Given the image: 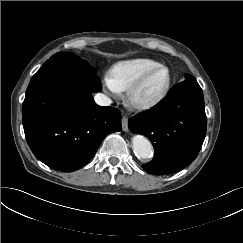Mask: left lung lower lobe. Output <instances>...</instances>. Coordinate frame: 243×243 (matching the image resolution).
I'll list each match as a JSON object with an SVG mask.
<instances>
[{
  "mask_svg": "<svg viewBox=\"0 0 243 243\" xmlns=\"http://www.w3.org/2000/svg\"><path fill=\"white\" fill-rule=\"evenodd\" d=\"M206 126L204 97L195 79L175 85L157 105L129 119V129L153 144L155 157L143 168L156 175L174 173L194 161Z\"/></svg>",
  "mask_w": 243,
  "mask_h": 243,
  "instance_id": "obj_1",
  "label": "left lung lower lobe"
}]
</instances>
